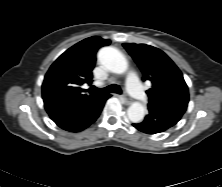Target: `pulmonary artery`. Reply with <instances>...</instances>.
<instances>
[{"label":"pulmonary artery","instance_id":"1","mask_svg":"<svg viewBox=\"0 0 222 187\" xmlns=\"http://www.w3.org/2000/svg\"><path fill=\"white\" fill-rule=\"evenodd\" d=\"M126 81H127V88H128L129 93L138 101L146 102L147 96L140 85V82L138 80L136 73L130 72L127 75Z\"/></svg>","mask_w":222,"mask_h":187}]
</instances>
